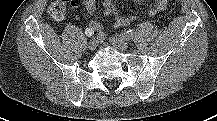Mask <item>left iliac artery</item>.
Segmentation results:
<instances>
[{
  "instance_id": "obj_1",
  "label": "left iliac artery",
  "mask_w": 217,
  "mask_h": 121,
  "mask_svg": "<svg viewBox=\"0 0 217 121\" xmlns=\"http://www.w3.org/2000/svg\"><path fill=\"white\" fill-rule=\"evenodd\" d=\"M135 33L134 29H129L127 32L122 33L120 36L125 40H130Z\"/></svg>"
}]
</instances>
